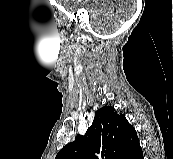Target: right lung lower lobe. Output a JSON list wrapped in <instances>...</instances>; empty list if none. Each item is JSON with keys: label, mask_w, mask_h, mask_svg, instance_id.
<instances>
[{"label": "right lung lower lobe", "mask_w": 173, "mask_h": 159, "mask_svg": "<svg viewBox=\"0 0 173 159\" xmlns=\"http://www.w3.org/2000/svg\"><path fill=\"white\" fill-rule=\"evenodd\" d=\"M128 159H143L142 149H140L138 152L130 156Z\"/></svg>", "instance_id": "obj_1"}]
</instances>
